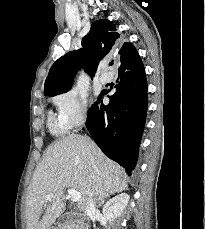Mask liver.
Masks as SVG:
<instances>
[{
	"label": "liver",
	"instance_id": "liver-1",
	"mask_svg": "<svg viewBox=\"0 0 205 229\" xmlns=\"http://www.w3.org/2000/svg\"><path fill=\"white\" fill-rule=\"evenodd\" d=\"M127 187L125 170L90 138L75 134L63 137L46 149L33 173L26 196L27 229H50L65 208L66 188L81 193L78 206L85 211L90 193L95 201H101ZM48 194H52L51 199Z\"/></svg>",
	"mask_w": 205,
	"mask_h": 229
}]
</instances>
